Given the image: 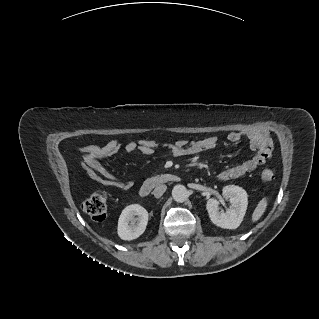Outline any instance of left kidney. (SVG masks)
<instances>
[{
	"label": "left kidney",
	"mask_w": 319,
	"mask_h": 319,
	"mask_svg": "<svg viewBox=\"0 0 319 319\" xmlns=\"http://www.w3.org/2000/svg\"><path fill=\"white\" fill-rule=\"evenodd\" d=\"M222 191L223 197L230 201L231 206L224 212L219 207V201L210 198L206 204L210 220L218 227L236 229L243 221L247 210V193L243 188L235 185L225 186Z\"/></svg>",
	"instance_id": "1"
}]
</instances>
